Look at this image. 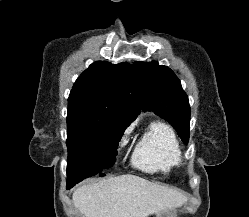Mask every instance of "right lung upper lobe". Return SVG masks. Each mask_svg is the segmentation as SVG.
Wrapping results in <instances>:
<instances>
[{"instance_id": "obj_1", "label": "right lung upper lobe", "mask_w": 249, "mask_h": 217, "mask_svg": "<svg viewBox=\"0 0 249 217\" xmlns=\"http://www.w3.org/2000/svg\"><path fill=\"white\" fill-rule=\"evenodd\" d=\"M68 103H86L111 112L131 123L143 108L141 87L128 63L97 61L76 80Z\"/></svg>"}]
</instances>
